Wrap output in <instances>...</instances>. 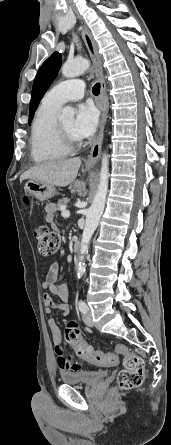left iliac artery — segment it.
Wrapping results in <instances>:
<instances>
[{"mask_svg": "<svg viewBox=\"0 0 171 445\" xmlns=\"http://www.w3.org/2000/svg\"><path fill=\"white\" fill-rule=\"evenodd\" d=\"M78 307H79V310H80L82 313H86L87 310H88V307H87L86 303H85L84 301H82V300H79V301H78Z\"/></svg>", "mask_w": 171, "mask_h": 445, "instance_id": "1", "label": "left iliac artery"}]
</instances>
